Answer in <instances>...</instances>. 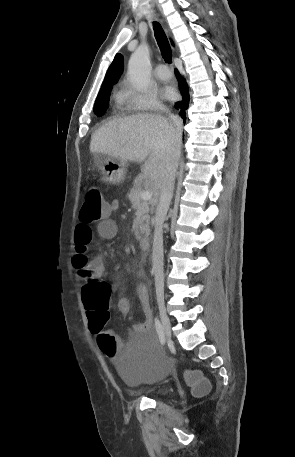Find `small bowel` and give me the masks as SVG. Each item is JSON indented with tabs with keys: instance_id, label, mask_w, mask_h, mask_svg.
<instances>
[{
	"instance_id": "small-bowel-1",
	"label": "small bowel",
	"mask_w": 295,
	"mask_h": 457,
	"mask_svg": "<svg viewBox=\"0 0 295 457\" xmlns=\"http://www.w3.org/2000/svg\"><path fill=\"white\" fill-rule=\"evenodd\" d=\"M119 206L120 204L117 199H114L108 204L109 215L100 221L97 225V232L101 239L111 240L116 237L117 225L116 222L110 217V214L117 211ZM91 241L92 229L89 226L79 224L75 232V253L79 249L87 252V248ZM88 270L92 274V278L94 280L101 281L100 278L105 270L103 258L96 256L89 260ZM137 295L145 314V320L142 323L135 325L134 330L143 338H156L152 328V311L150 309L149 293L144 284L138 285ZM117 308L122 315H128L131 310L130 300L127 297H121L117 302Z\"/></svg>"
}]
</instances>
